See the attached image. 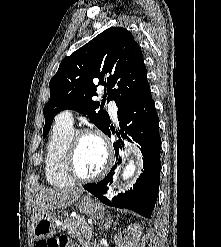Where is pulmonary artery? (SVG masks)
<instances>
[{
	"label": "pulmonary artery",
	"mask_w": 221,
	"mask_h": 247,
	"mask_svg": "<svg viewBox=\"0 0 221 247\" xmlns=\"http://www.w3.org/2000/svg\"><path fill=\"white\" fill-rule=\"evenodd\" d=\"M109 112L111 114V116L116 119V116H117V107L115 105L114 102H111L109 104ZM58 121L64 123V124H67V125H73V122H74V119H73V115H72V112L70 110H66L62 113H60L58 115V118H57Z\"/></svg>",
	"instance_id": "obj_1"
}]
</instances>
